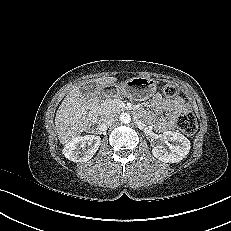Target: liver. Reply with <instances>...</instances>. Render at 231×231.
Segmentation results:
<instances>
[{
	"label": "liver",
	"mask_w": 231,
	"mask_h": 231,
	"mask_svg": "<svg viewBox=\"0 0 231 231\" xmlns=\"http://www.w3.org/2000/svg\"><path fill=\"white\" fill-rule=\"evenodd\" d=\"M101 87L113 85L117 78L103 77L94 80ZM86 99L77 86L71 90L60 104L55 117V127L58 139L62 144H67L83 131H86L94 122L95 117L87 112Z\"/></svg>",
	"instance_id": "1"
}]
</instances>
